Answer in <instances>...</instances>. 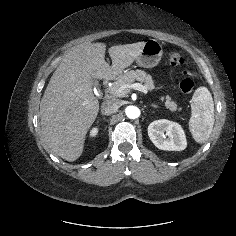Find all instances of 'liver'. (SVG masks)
Listing matches in <instances>:
<instances>
[{
    "label": "liver",
    "instance_id": "liver-1",
    "mask_svg": "<svg viewBox=\"0 0 236 236\" xmlns=\"http://www.w3.org/2000/svg\"><path fill=\"white\" fill-rule=\"evenodd\" d=\"M144 45L137 42L110 47L111 66L105 61L104 43H83L64 55L40 102L42 135L55 154L70 162L82 155L87 132L99 111L91 80L119 75L136 60Z\"/></svg>",
    "mask_w": 236,
    "mask_h": 236
}]
</instances>
